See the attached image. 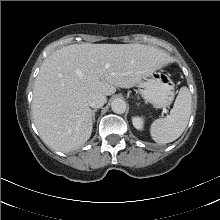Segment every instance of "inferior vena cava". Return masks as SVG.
<instances>
[{
	"mask_svg": "<svg viewBox=\"0 0 220 220\" xmlns=\"http://www.w3.org/2000/svg\"><path fill=\"white\" fill-rule=\"evenodd\" d=\"M87 102L92 108H101L106 102V97L102 93L92 92L89 94Z\"/></svg>",
	"mask_w": 220,
	"mask_h": 220,
	"instance_id": "obj_1",
	"label": "inferior vena cava"
}]
</instances>
